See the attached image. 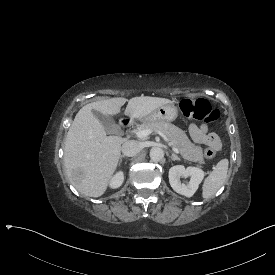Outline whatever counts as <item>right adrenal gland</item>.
<instances>
[{"mask_svg":"<svg viewBox=\"0 0 275 275\" xmlns=\"http://www.w3.org/2000/svg\"><path fill=\"white\" fill-rule=\"evenodd\" d=\"M127 159H128V157H126V156H121V157H120V161H119V167H121L123 160H127Z\"/></svg>","mask_w":275,"mask_h":275,"instance_id":"2a0ac1e0","label":"right adrenal gland"}]
</instances>
